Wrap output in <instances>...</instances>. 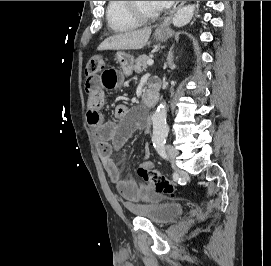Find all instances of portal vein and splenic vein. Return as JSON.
Segmentation results:
<instances>
[{
    "mask_svg": "<svg viewBox=\"0 0 271 266\" xmlns=\"http://www.w3.org/2000/svg\"><path fill=\"white\" fill-rule=\"evenodd\" d=\"M148 66H152L154 64V61L153 60H148L147 63H146Z\"/></svg>",
    "mask_w": 271,
    "mask_h": 266,
    "instance_id": "portal-vein-and-splenic-vein-1",
    "label": "portal vein and splenic vein"
}]
</instances>
